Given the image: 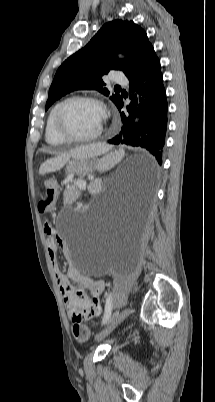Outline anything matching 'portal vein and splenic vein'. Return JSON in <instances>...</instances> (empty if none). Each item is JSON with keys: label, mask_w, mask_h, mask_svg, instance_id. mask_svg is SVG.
I'll return each instance as SVG.
<instances>
[{"label": "portal vein and splenic vein", "mask_w": 215, "mask_h": 402, "mask_svg": "<svg viewBox=\"0 0 215 402\" xmlns=\"http://www.w3.org/2000/svg\"><path fill=\"white\" fill-rule=\"evenodd\" d=\"M78 184V186L81 188V189H85L86 188V182H84V181H82V182H80V183H77Z\"/></svg>", "instance_id": "obj_1"}]
</instances>
